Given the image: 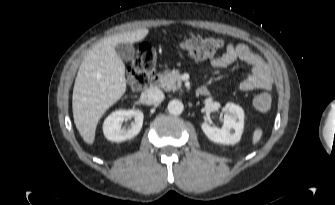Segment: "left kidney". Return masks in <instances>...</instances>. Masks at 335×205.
Returning <instances> with one entry per match:
<instances>
[{"label": "left kidney", "mask_w": 335, "mask_h": 205, "mask_svg": "<svg viewBox=\"0 0 335 205\" xmlns=\"http://www.w3.org/2000/svg\"><path fill=\"white\" fill-rule=\"evenodd\" d=\"M224 111V124L222 128L211 126L208 122H203L201 128L211 141L234 145L240 141L243 133L244 111L239 105L234 103H227Z\"/></svg>", "instance_id": "left-kidney-1"}]
</instances>
